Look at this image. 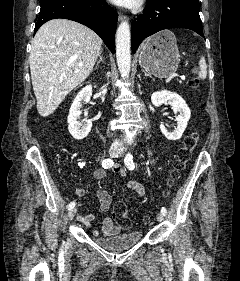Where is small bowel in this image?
<instances>
[{"label":"small bowel","instance_id":"1","mask_svg":"<svg viewBox=\"0 0 240 281\" xmlns=\"http://www.w3.org/2000/svg\"><path fill=\"white\" fill-rule=\"evenodd\" d=\"M112 170H113V172L117 173L118 175H120L123 178V180L126 183L127 188L132 190L138 197H144L146 195L145 187L141 183H139L135 180H131L128 177V174L125 172V170L120 165H115L112 168ZM105 175H106V172L103 168H97L94 171V177L97 180H102L105 177ZM75 193L77 196L83 197L86 195V190L84 188H77L75 190ZM97 197L99 199L101 209L103 211L107 212L110 209V206L112 204V197L103 188H99L97 190ZM77 206L80 207L81 204L77 203ZM94 219H95V216L92 214L78 216V220L88 226ZM120 231H121V228L114 224L112 218L106 217L103 219V221L101 223V230L100 231L95 230L93 233L95 236H98L100 234L102 236H111V235L119 234Z\"/></svg>","mask_w":240,"mask_h":281}]
</instances>
